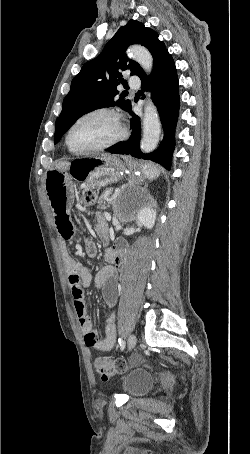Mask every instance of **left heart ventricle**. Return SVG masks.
Returning <instances> with one entry per match:
<instances>
[{"label":"left heart ventricle","mask_w":250,"mask_h":454,"mask_svg":"<svg viewBox=\"0 0 250 454\" xmlns=\"http://www.w3.org/2000/svg\"><path fill=\"white\" fill-rule=\"evenodd\" d=\"M116 134L113 118L107 114H97L76 125L70 136V144L76 150L89 149L110 140Z\"/></svg>","instance_id":"b2bd125f"}]
</instances>
